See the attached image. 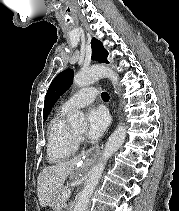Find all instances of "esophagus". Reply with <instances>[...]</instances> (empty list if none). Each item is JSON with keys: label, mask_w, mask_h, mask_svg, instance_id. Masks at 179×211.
<instances>
[{"label": "esophagus", "mask_w": 179, "mask_h": 211, "mask_svg": "<svg viewBox=\"0 0 179 211\" xmlns=\"http://www.w3.org/2000/svg\"><path fill=\"white\" fill-rule=\"evenodd\" d=\"M98 152H100V147H87L86 154H83V159H88V163H97Z\"/></svg>", "instance_id": "esophagus-1"}]
</instances>
